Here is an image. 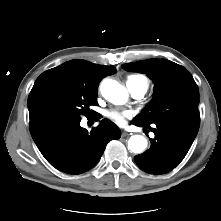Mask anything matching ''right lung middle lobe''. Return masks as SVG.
<instances>
[{"label":"right lung middle lobe","instance_id":"1","mask_svg":"<svg viewBox=\"0 0 221 221\" xmlns=\"http://www.w3.org/2000/svg\"><path fill=\"white\" fill-rule=\"evenodd\" d=\"M98 89L72 82H59L48 87L41 97V108L47 115L88 116L91 105H97Z\"/></svg>","mask_w":221,"mask_h":221}]
</instances>
